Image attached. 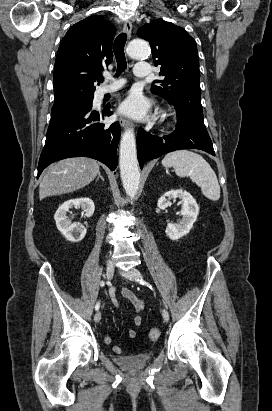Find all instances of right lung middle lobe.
<instances>
[{
    "instance_id": "obj_1",
    "label": "right lung middle lobe",
    "mask_w": 272,
    "mask_h": 411,
    "mask_svg": "<svg viewBox=\"0 0 272 411\" xmlns=\"http://www.w3.org/2000/svg\"><path fill=\"white\" fill-rule=\"evenodd\" d=\"M93 97L94 93L78 92L74 94L72 98L64 102L54 104L51 110V115L59 114L83 104L90 103L93 101Z\"/></svg>"
}]
</instances>
